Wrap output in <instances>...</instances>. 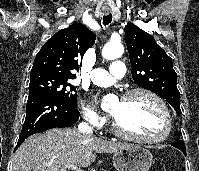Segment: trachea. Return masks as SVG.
<instances>
[{
    "mask_svg": "<svg viewBox=\"0 0 199 171\" xmlns=\"http://www.w3.org/2000/svg\"><path fill=\"white\" fill-rule=\"evenodd\" d=\"M111 21H112V15L111 14L103 16V24L105 26L108 25Z\"/></svg>",
    "mask_w": 199,
    "mask_h": 171,
    "instance_id": "obj_1",
    "label": "trachea"
}]
</instances>
